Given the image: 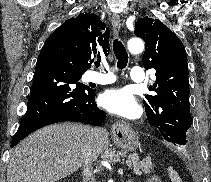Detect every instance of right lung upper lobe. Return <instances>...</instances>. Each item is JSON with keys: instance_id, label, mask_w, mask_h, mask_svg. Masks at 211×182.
<instances>
[{"instance_id": "cb5924a9", "label": "right lung upper lobe", "mask_w": 211, "mask_h": 182, "mask_svg": "<svg viewBox=\"0 0 211 182\" xmlns=\"http://www.w3.org/2000/svg\"><path fill=\"white\" fill-rule=\"evenodd\" d=\"M65 27L69 34L76 39L81 60L85 68H90L93 57L97 53V46L100 45L103 53L107 56L110 50V31L105 30V24L96 15L79 14L75 18H70L60 27Z\"/></svg>"}]
</instances>
